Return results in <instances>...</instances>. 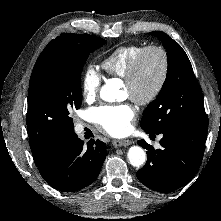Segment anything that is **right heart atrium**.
Here are the masks:
<instances>
[{"label":"right heart atrium","mask_w":221,"mask_h":221,"mask_svg":"<svg viewBox=\"0 0 221 221\" xmlns=\"http://www.w3.org/2000/svg\"><path fill=\"white\" fill-rule=\"evenodd\" d=\"M102 77L92 66L88 65L82 75L81 90L85 100L93 101L99 93Z\"/></svg>","instance_id":"obj_1"}]
</instances>
